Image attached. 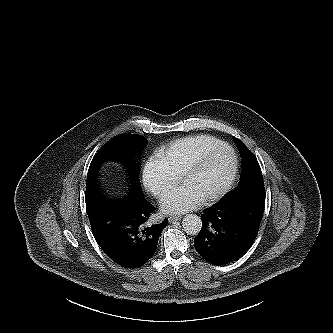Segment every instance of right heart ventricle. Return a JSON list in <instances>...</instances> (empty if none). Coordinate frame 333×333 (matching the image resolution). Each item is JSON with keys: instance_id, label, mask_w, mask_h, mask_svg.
I'll return each instance as SVG.
<instances>
[{"instance_id": "e07e8e85", "label": "right heart ventricle", "mask_w": 333, "mask_h": 333, "mask_svg": "<svg viewBox=\"0 0 333 333\" xmlns=\"http://www.w3.org/2000/svg\"><path fill=\"white\" fill-rule=\"evenodd\" d=\"M223 142L211 135H193L172 141L162 147L159 154L164 158L171 172L178 176L200 154Z\"/></svg>"}]
</instances>
